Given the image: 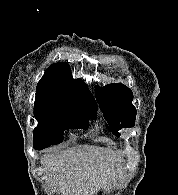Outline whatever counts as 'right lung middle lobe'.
Segmentation results:
<instances>
[{
	"mask_svg": "<svg viewBox=\"0 0 178 195\" xmlns=\"http://www.w3.org/2000/svg\"><path fill=\"white\" fill-rule=\"evenodd\" d=\"M97 106L90 104L35 103L34 116L39 125L33 131V147L42 150L63 141L67 129L87 128L89 119L96 118Z\"/></svg>",
	"mask_w": 178,
	"mask_h": 195,
	"instance_id": "dd1d6c3e",
	"label": "right lung middle lobe"
}]
</instances>
